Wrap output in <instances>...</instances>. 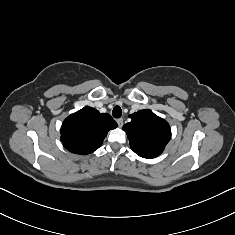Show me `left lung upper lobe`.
<instances>
[{"label": "left lung upper lobe", "instance_id": "1", "mask_svg": "<svg viewBox=\"0 0 235 235\" xmlns=\"http://www.w3.org/2000/svg\"><path fill=\"white\" fill-rule=\"evenodd\" d=\"M123 126L131 149L140 157L155 158L162 153L171 138L169 124L150 110H140L129 116Z\"/></svg>", "mask_w": 235, "mask_h": 235}]
</instances>
